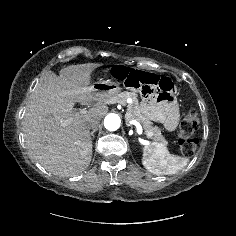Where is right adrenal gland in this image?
Segmentation results:
<instances>
[{"label": "right adrenal gland", "mask_w": 236, "mask_h": 236, "mask_svg": "<svg viewBox=\"0 0 236 236\" xmlns=\"http://www.w3.org/2000/svg\"><path fill=\"white\" fill-rule=\"evenodd\" d=\"M96 132V130H93L92 132H91V140H93L94 139V133Z\"/></svg>", "instance_id": "1"}]
</instances>
